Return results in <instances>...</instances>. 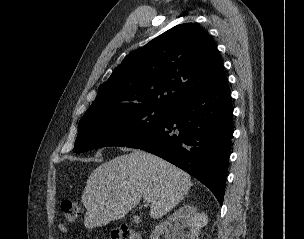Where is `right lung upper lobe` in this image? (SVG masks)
Instances as JSON below:
<instances>
[{
	"instance_id": "1",
	"label": "right lung upper lobe",
	"mask_w": 304,
	"mask_h": 239,
	"mask_svg": "<svg viewBox=\"0 0 304 239\" xmlns=\"http://www.w3.org/2000/svg\"><path fill=\"white\" fill-rule=\"evenodd\" d=\"M223 75L222 59L209 34L197 24H180L130 53L99 87L82 118L125 107L167 109Z\"/></svg>"
}]
</instances>
